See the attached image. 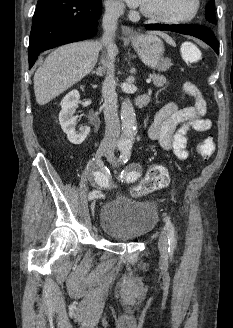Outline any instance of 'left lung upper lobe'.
Listing matches in <instances>:
<instances>
[{
    "instance_id": "1",
    "label": "left lung upper lobe",
    "mask_w": 233,
    "mask_h": 328,
    "mask_svg": "<svg viewBox=\"0 0 233 328\" xmlns=\"http://www.w3.org/2000/svg\"><path fill=\"white\" fill-rule=\"evenodd\" d=\"M206 19L213 24H216V18H215V2L214 0H211L206 8V13H205Z\"/></svg>"
}]
</instances>
